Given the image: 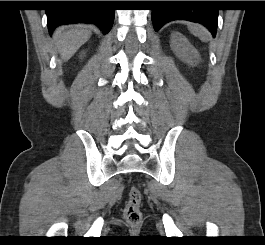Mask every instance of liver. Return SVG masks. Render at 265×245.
Listing matches in <instances>:
<instances>
[{
	"label": "liver",
	"instance_id": "1",
	"mask_svg": "<svg viewBox=\"0 0 265 245\" xmlns=\"http://www.w3.org/2000/svg\"><path fill=\"white\" fill-rule=\"evenodd\" d=\"M90 36L91 31L82 25L60 27L54 32L56 49L64 61L69 60Z\"/></svg>",
	"mask_w": 265,
	"mask_h": 245
}]
</instances>
